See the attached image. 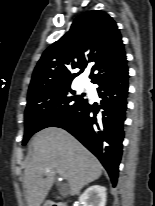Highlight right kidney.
Wrapping results in <instances>:
<instances>
[{
  "instance_id": "1",
  "label": "right kidney",
  "mask_w": 155,
  "mask_h": 206,
  "mask_svg": "<svg viewBox=\"0 0 155 206\" xmlns=\"http://www.w3.org/2000/svg\"><path fill=\"white\" fill-rule=\"evenodd\" d=\"M81 206H105L106 188L101 185H92L79 197Z\"/></svg>"
}]
</instances>
